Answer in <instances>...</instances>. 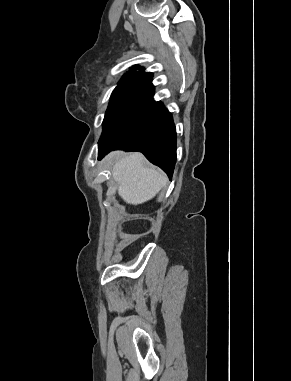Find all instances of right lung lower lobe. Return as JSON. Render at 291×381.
I'll use <instances>...</instances> for the list:
<instances>
[{"label": "right lung lower lobe", "mask_w": 291, "mask_h": 381, "mask_svg": "<svg viewBox=\"0 0 291 381\" xmlns=\"http://www.w3.org/2000/svg\"><path fill=\"white\" fill-rule=\"evenodd\" d=\"M152 75L144 76L115 142H99L98 158L112 150L139 151L171 178L176 163V129L171 113L153 100Z\"/></svg>", "instance_id": "98d812e1"}]
</instances>
